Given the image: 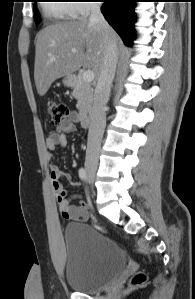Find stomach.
<instances>
[{"label":"stomach","mask_w":195,"mask_h":299,"mask_svg":"<svg viewBox=\"0 0 195 299\" xmlns=\"http://www.w3.org/2000/svg\"><path fill=\"white\" fill-rule=\"evenodd\" d=\"M63 84L67 87H73L74 86V77L72 75L65 76L63 79Z\"/></svg>","instance_id":"stomach-1"}]
</instances>
